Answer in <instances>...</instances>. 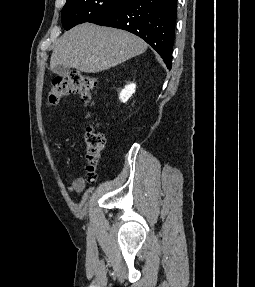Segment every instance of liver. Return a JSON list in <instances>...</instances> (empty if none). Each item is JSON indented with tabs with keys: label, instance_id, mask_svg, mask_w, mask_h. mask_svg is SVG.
I'll return each instance as SVG.
<instances>
[{
	"label": "liver",
	"instance_id": "6515ba94",
	"mask_svg": "<svg viewBox=\"0 0 255 287\" xmlns=\"http://www.w3.org/2000/svg\"><path fill=\"white\" fill-rule=\"evenodd\" d=\"M146 50V42L124 30L80 24L59 38L50 68L68 66L79 72L95 74L144 54Z\"/></svg>",
	"mask_w": 255,
	"mask_h": 287
}]
</instances>
